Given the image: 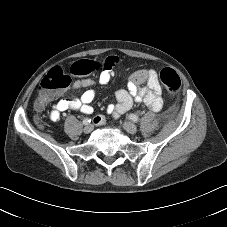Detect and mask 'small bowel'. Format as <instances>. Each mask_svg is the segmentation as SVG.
<instances>
[{
  "instance_id": "1",
  "label": "small bowel",
  "mask_w": 227,
  "mask_h": 227,
  "mask_svg": "<svg viewBox=\"0 0 227 227\" xmlns=\"http://www.w3.org/2000/svg\"><path fill=\"white\" fill-rule=\"evenodd\" d=\"M117 63L118 59L116 57H107L101 63L102 70L98 81L89 78L74 81L71 86L72 90L85 89V92L80 98L69 97L60 99L49 112L50 120H58L60 114L67 110H80L84 114H92L94 112L92 102L96 97L95 87L97 84L105 86L110 83ZM144 81H146V86H141V83ZM126 85V89H119L115 92L117 103L107 105L106 112L109 115L118 117L129 111L135 102L143 103L155 112L162 108L161 86L158 76L153 69L135 71L127 79ZM98 121L103 122L104 118L101 117Z\"/></svg>"
}]
</instances>
